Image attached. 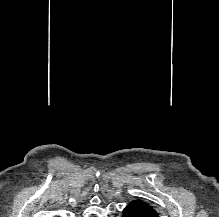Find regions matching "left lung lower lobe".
<instances>
[{"mask_svg": "<svg viewBox=\"0 0 219 217\" xmlns=\"http://www.w3.org/2000/svg\"><path fill=\"white\" fill-rule=\"evenodd\" d=\"M122 217H159L158 215L149 213L138 203L131 202L123 210Z\"/></svg>", "mask_w": 219, "mask_h": 217, "instance_id": "0a47b994", "label": "left lung lower lobe"}]
</instances>
